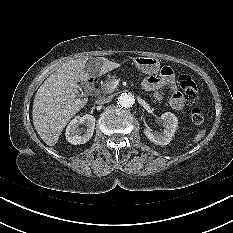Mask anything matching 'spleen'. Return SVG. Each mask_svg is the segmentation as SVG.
<instances>
[{
  "label": "spleen",
  "mask_w": 233,
  "mask_h": 233,
  "mask_svg": "<svg viewBox=\"0 0 233 233\" xmlns=\"http://www.w3.org/2000/svg\"><path fill=\"white\" fill-rule=\"evenodd\" d=\"M205 132H206L205 129L199 130L198 133L195 135L193 142L194 143L199 142L204 137Z\"/></svg>",
  "instance_id": "1"
}]
</instances>
